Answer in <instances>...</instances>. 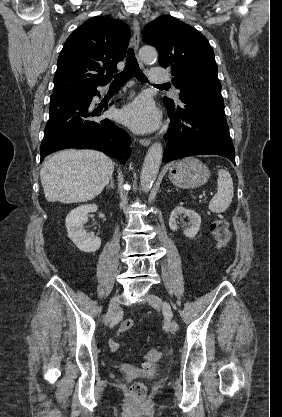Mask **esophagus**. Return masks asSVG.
Here are the masks:
<instances>
[{
	"instance_id": "34e87169",
	"label": "esophagus",
	"mask_w": 282,
	"mask_h": 417,
	"mask_svg": "<svg viewBox=\"0 0 282 417\" xmlns=\"http://www.w3.org/2000/svg\"><path fill=\"white\" fill-rule=\"evenodd\" d=\"M139 37H140V25L138 20L134 18L133 20V46L135 53L137 54L139 48ZM150 139L141 138L139 139V143L144 147H148L150 145Z\"/></svg>"
}]
</instances>
